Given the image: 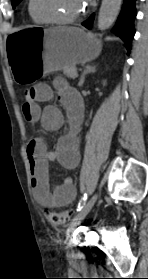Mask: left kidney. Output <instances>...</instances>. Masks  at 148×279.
<instances>
[{
  "label": "left kidney",
  "instance_id": "1",
  "mask_svg": "<svg viewBox=\"0 0 148 279\" xmlns=\"http://www.w3.org/2000/svg\"><path fill=\"white\" fill-rule=\"evenodd\" d=\"M103 85H106V81H103Z\"/></svg>",
  "mask_w": 148,
  "mask_h": 279
}]
</instances>
